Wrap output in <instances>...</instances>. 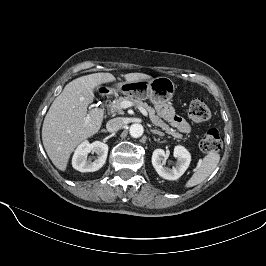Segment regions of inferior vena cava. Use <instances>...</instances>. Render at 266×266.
<instances>
[{
  "instance_id": "1",
  "label": "inferior vena cava",
  "mask_w": 266,
  "mask_h": 266,
  "mask_svg": "<svg viewBox=\"0 0 266 266\" xmlns=\"http://www.w3.org/2000/svg\"><path fill=\"white\" fill-rule=\"evenodd\" d=\"M124 124L125 122L122 117H116L107 122L106 128L108 132H117L124 126Z\"/></svg>"
}]
</instances>
